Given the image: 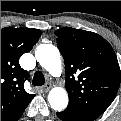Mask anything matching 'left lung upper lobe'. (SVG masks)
<instances>
[{
  "instance_id": "5c2ea615",
  "label": "left lung upper lobe",
  "mask_w": 121,
  "mask_h": 121,
  "mask_svg": "<svg viewBox=\"0 0 121 121\" xmlns=\"http://www.w3.org/2000/svg\"><path fill=\"white\" fill-rule=\"evenodd\" d=\"M58 47L65 63L66 112L94 120L112 103L120 85V67L111 45L100 35L61 28Z\"/></svg>"
}]
</instances>
